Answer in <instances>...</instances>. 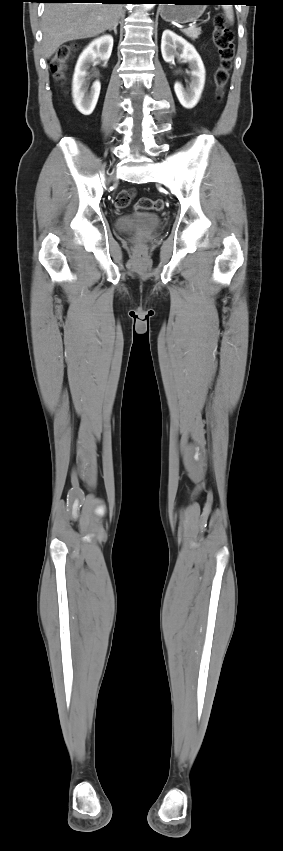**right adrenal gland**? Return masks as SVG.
Segmentation results:
<instances>
[{
	"label": "right adrenal gland",
	"instance_id": "obj_1",
	"mask_svg": "<svg viewBox=\"0 0 283 851\" xmlns=\"http://www.w3.org/2000/svg\"><path fill=\"white\" fill-rule=\"evenodd\" d=\"M117 26H118V23L113 28L109 29V32L113 30L115 35H117Z\"/></svg>",
	"mask_w": 283,
	"mask_h": 851
}]
</instances>
